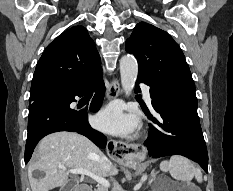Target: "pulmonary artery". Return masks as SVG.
<instances>
[{
    "instance_id": "obj_1",
    "label": "pulmonary artery",
    "mask_w": 233,
    "mask_h": 191,
    "mask_svg": "<svg viewBox=\"0 0 233 191\" xmlns=\"http://www.w3.org/2000/svg\"><path fill=\"white\" fill-rule=\"evenodd\" d=\"M141 88L143 90L144 97L148 103H151V98H150V92H149V87L145 84L141 85Z\"/></svg>"
}]
</instances>
